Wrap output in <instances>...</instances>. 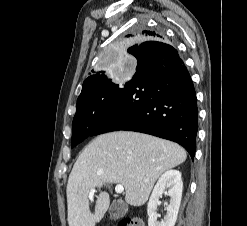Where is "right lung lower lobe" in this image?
<instances>
[{"label":"right lung lower lobe","mask_w":247,"mask_h":226,"mask_svg":"<svg viewBox=\"0 0 247 226\" xmlns=\"http://www.w3.org/2000/svg\"><path fill=\"white\" fill-rule=\"evenodd\" d=\"M137 71L128 81L93 135L131 130L182 145L194 158L197 99L193 82L177 50L160 40L135 49Z\"/></svg>","instance_id":"obj_1"}]
</instances>
